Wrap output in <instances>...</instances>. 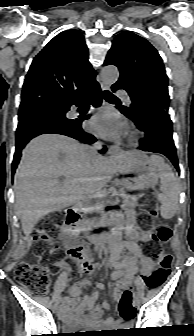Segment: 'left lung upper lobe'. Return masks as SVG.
<instances>
[{
  "instance_id": "left-lung-upper-lobe-1",
  "label": "left lung upper lobe",
  "mask_w": 194,
  "mask_h": 336,
  "mask_svg": "<svg viewBox=\"0 0 194 336\" xmlns=\"http://www.w3.org/2000/svg\"><path fill=\"white\" fill-rule=\"evenodd\" d=\"M115 65L120 78L114 86L128 92L132 104L118 106L134 122L169 109L168 77L157 50L144 38L120 33L114 39L104 65Z\"/></svg>"
}]
</instances>
